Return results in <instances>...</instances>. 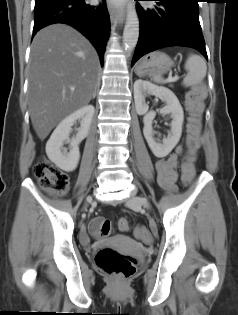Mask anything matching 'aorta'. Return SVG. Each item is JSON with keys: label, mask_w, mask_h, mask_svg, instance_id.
<instances>
[{"label": "aorta", "mask_w": 238, "mask_h": 315, "mask_svg": "<svg viewBox=\"0 0 238 315\" xmlns=\"http://www.w3.org/2000/svg\"><path fill=\"white\" fill-rule=\"evenodd\" d=\"M139 38V19L132 4L128 7L127 19L123 31V45L126 51H132Z\"/></svg>", "instance_id": "aorta-1"}]
</instances>
